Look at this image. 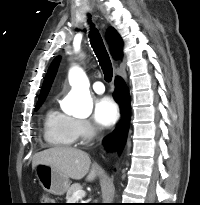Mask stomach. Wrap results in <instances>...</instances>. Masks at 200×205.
<instances>
[{"mask_svg": "<svg viewBox=\"0 0 200 205\" xmlns=\"http://www.w3.org/2000/svg\"><path fill=\"white\" fill-rule=\"evenodd\" d=\"M35 174L43 189L51 194L61 196L69 189V178L51 166L38 164Z\"/></svg>", "mask_w": 200, "mask_h": 205, "instance_id": "1", "label": "stomach"}]
</instances>
